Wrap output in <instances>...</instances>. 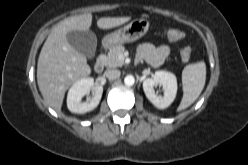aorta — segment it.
<instances>
[{
    "label": "aorta",
    "mask_w": 248,
    "mask_h": 165,
    "mask_svg": "<svg viewBox=\"0 0 248 165\" xmlns=\"http://www.w3.org/2000/svg\"><path fill=\"white\" fill-rule=\"evenodd\" d=\"M135 82V78L134 76L132 75H127L125 78H124V83L127 85V86H132Z\"/></svg>",
    "instance_id": "obj_1"
}]
</instances>
